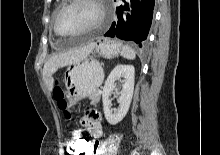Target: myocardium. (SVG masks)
Instances as JSON below:
<instances>
[{
  "mask_svg": "<svg viewBox=\"0 0 220 155\" xmlns=\"http://www.w3.org/2000/svg\"><path fill=\"white\" fill-rule=\"evenodd\" d=\"M83 1H88V2H91L92 4L95 5V7L98 10L97 19L93 23H91L90 25H88L87 27H85L84 29H82L78 32H75V33L69 34V35L60 34L57 30V21H58L60 14L64 10H66L67 8L71 7L72 5L79 3V2H83ZM105 19H106V7H105L103 0H68L56 12V14L54 16L52 28H53L54 33L60 37L77 36V35H82V34L88 33L94 29H97L98 27H100L104 23Z\"/></svg>",
  "mask_w": 220,
  "mask_h": 155,
  "instance_id": "1",
  "label": "myocardium"
}]
</instances>
